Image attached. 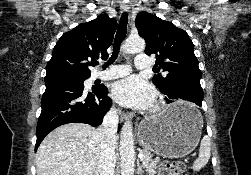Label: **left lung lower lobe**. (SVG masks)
Here are the masks:
<instances>
[{"label":"left lung lower lobe","instance_id":"left-lung-lower-lobe-1","mask_svg":"<svg viewBox=\"0 0 251 175\" xmlns=\"http://www.w3.org/2000/svg\"><path fill=\"white\" fill-rule=\"evenodd\" d=\"M166 97L167 103L173 100H184L189 103L176 109L171 117L182 120H195L202 114L201 106L203 100V90L200 86L187 82L178 81L170 84L166 89H160Z\"/></svg>","mask_w":251,"mask_h":175}]
</instances>
